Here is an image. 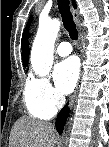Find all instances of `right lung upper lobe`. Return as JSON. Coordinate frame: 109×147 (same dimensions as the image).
Instances as JSON below:
<instances>
[{"mask_svg": "<svg viewBox=\"0 0 109 147\" xmlns=\"http://www.w3.org/2000/svg\"><path fill=\"white\" fill-rule=\"evenodd\" d=\"M72 2H73V6L76 8L75 1L73 0ZM28 58H29V48H28V44L26 42L24 45V49L22 51V59H23L25 66H27V64H28Z\"/></svg>", "mask_w": 109, "mask_h": 147, "instance_id": "cb5924a9", "label": "right lung upper lobe"}]
</instances>
